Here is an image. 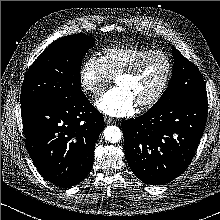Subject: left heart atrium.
<instances>
[{"mask_svg":"<svg viewBox=\"0 0 220 220\" xmlns=\"http://www.w3.org/2000/svg\"><path fill=\"white\" fill-rule=\"evenodd\" d=\"M96 106L106 115L124 117L132 115L137 104L129 91L121 87H114L97 101Z\"/></svg>","mask_w":220,"mask_h":220,"instance_id":"39dd6f15","label":"left heart atrium"}]
</instances>
